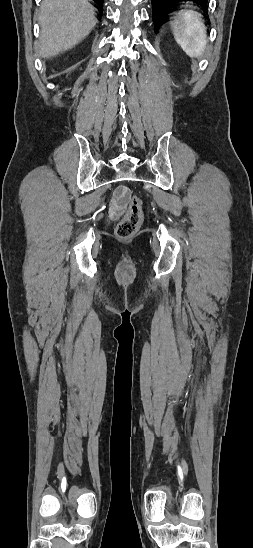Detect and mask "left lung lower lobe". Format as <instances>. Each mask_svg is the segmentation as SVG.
Wrapping results in <instances>:
<instances>
[{
    "label": "left lung lower lobe",
    "instance_id": "1",
    "mask_svg": "<svg viewBox=\"0 0 253 548\" xmlns=\"http://www.w3.org/2000/svg\"><path fill=\"white\" fill-rule=\"evenodd\" d=\"M182 1H191L204 11L208 9V0H152L154 27L157 29L165 23L166 15L170 12L171 5Z\"/></svg>",
    "mask_w": 253,
    "mask_h": 548
}]
</instances>
